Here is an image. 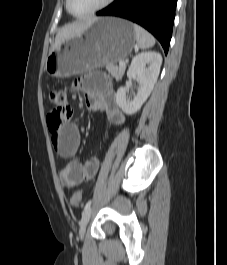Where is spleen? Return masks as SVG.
<instances>
[{
    "label": "spleen",
    "mask_w": 227,
    "mask_h": 265,
    "mask_svg": "<svg viewBox=\"0 0 227 265\" xmlns=\"http://www.w3.org/2000/svg\"><path fill=\"white\" fill-rule=\"evenodd\" d=\"M137 45L141 49H148L155 44L154 37L137 24H133Z\"/></svg>",
    "instance_id": "3e777b00"
}]
</instances>
